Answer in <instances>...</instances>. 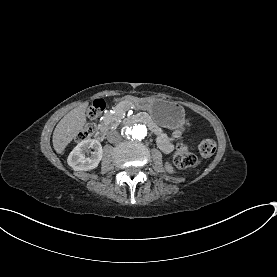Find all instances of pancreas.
I'll return each instance as SVG.
<instances>
[{
  "mask_svg": "<svg viewBox=\"0 0 277 277\" xmlns=\"http://www.w3.org/2000/svg\"><path fill=\"white\" fill-rule=\"evenodd\" d=\"M130 112V106L126 102H121L115 107H112L104 116V121L108 125H113L121 119L122 116L128 115Z\"/></svg>",
  "mask_w": 277,
  "mask_h": 277,
  "instance_id": "obj_1",
  "label": "pancreas"
}]
</instances>
